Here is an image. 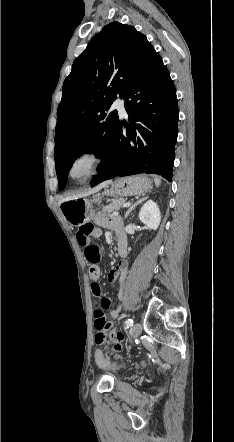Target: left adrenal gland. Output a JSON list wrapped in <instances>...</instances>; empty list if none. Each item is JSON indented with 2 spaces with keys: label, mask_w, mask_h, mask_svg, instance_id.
I'll list each match as a JSON object with an SVG mask.
<instances>
[{
  "label": "left adrenal gland",
  "mask_w": 234,
  "mask_h": 442,
  "mask_svg": "<svg viewBox=\"0 0 234 442\" xmlns=\"http://www.w3.org/2000/svg\"><path fill=\"white\" fill-rule=\"evenodd\" d=\"M147 199V197H145V198H141V199H139L137 202H135L129 209H128V211L126 212V214H125V219L128 217V215L130 214V212L133 210V209H135V207L137 206V205H139L140 203H142L144 200H146Z\"/></svg>",
  "instance_id": "left-adrenal-gland-1"
}]
</instances>
